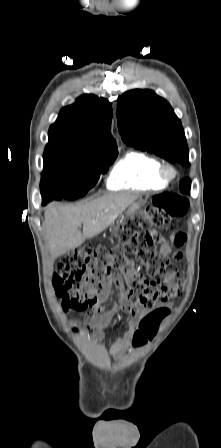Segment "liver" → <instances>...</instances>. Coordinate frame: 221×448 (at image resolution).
<instances>
[{
  "mask_svg": "<svg viewBox=\"0 0 221 448\" xmlns=\"http://www.w3.org/2000/svg\"><path fill=\"white\" fill-rule=\"evenodd\" d=\"M137 199L138 195L130 193L110 194L78 206L49 207L43 225L51 257L57 258L103 232Z\"/></svg>",
  "mask_w": 221,
  "mask_h": 448,
  "instance_id": "obj_1",
  "label": "liver"
}]
</instances>
